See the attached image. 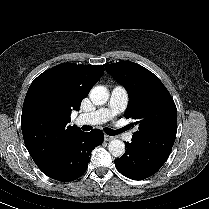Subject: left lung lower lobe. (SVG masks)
Segmentation results:
<instances>
[{
    "label": "left lung lower lobe",
    "mask_w": 209,
    "mask_h": 209,
    "mask_svg": "<svg viewBox=\"0 0 209 209\" xmlns=\"http://www.w3.org/2000/svg\"><path fill=\"white\" fill-rule=\"evenodd\" d=\"M125 154L114 160L117 170L133 180H143L155 174L166 162L172 147L151 144L132 138L126 143Z\"/></svg>",
    "instance_id": "left-lung-lower-lobe-1"
}]
</instances>
